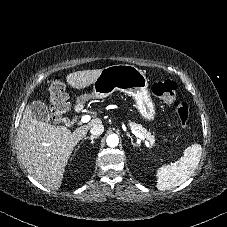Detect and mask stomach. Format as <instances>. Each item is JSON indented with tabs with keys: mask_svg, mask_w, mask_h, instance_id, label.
I'll list each match as a JSON object with an SVG mask.
<instances>
[{
	"mask_svg": "<svg viewBox=\"0 0 227 227\" xmlns=\"http://www.w3.org/2000/svg\"><path fill=\"white\" fill-rule=\"evenodd\" d=\"M149 79L134 65L119 64L103 68L93 82V93L77 98L84 102L91 97L105 98L118 90L132 96L135 106L143 119L153 121L156 116L155 105L148 91Z\"/></svg>",
	"mask_w": 227,
	"mask_h": 227,
	"instance_id": "obj_1",
	"label": "stomach"
}]
</instances>
